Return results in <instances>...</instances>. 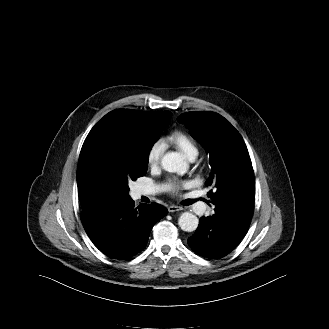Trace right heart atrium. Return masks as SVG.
<instances>
[{"instance_id": "obj_1", "label": "right heart atrium", "mask_w": 329, "mask_h": 329, "mask_svg": "<svg viewBox=\"0 0 329 329\" xmlns=\"http://www.w3.org/2000/svg\"><path fill=\"white\" fill-rule=\"evenodd\" d=\"M165 150V144L162 140H156L154 141L148 151H147V164L149 166H155L160 162V159L163 155V152Z\"/></svg>"}]
</instances>
